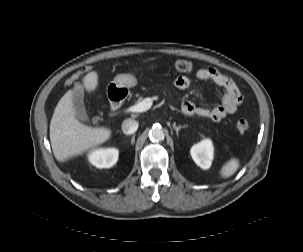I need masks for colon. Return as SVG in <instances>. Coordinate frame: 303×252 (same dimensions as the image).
<instances>
[{
	"mask_svg": "<svg viewBox=\"0 0 303 252\" xmlns=\"http://www.w3.org/2000/svg\"><path fill=\"white\" fill-rule=\"evenodd\" d=\"M174 69L180 73H191L194 66L190 61L176 60L174 62ZM236 128L240 133H246L250 129V123L248 120L241 118L237 121Z\"/></svg>",
	"mask_w": 303,
	"mask_h": 252,
	"instance_id": "colon-1",
	"label": "colon"
}]
</instances>
